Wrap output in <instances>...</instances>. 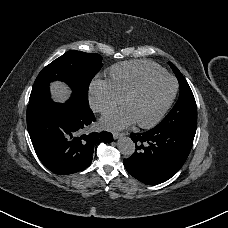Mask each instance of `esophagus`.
<instances>
[{"mask_svg": "<svg viewBox=\"0 0 228 228\" xmlns=\"http://www.w3.org/2000/svg\"><path fill=\"white\" fill-rule=\"evenodd\" d=\"M124 135H125L124 133H114V134H113V138H114L115 140H117V139L123 137Z\"/></svg>", "mask_w": 228, "mask_h": 228, "instance_id": "obj_1", "label": "esophagus"}]
</instances>
